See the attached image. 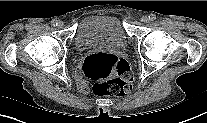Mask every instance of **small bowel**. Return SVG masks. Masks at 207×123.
<instances>
[{
	"label": "small bowel",
	"mask_w": 207,
	"mask_h": 123,
	"mask_svg": "<svg viewBox=\"0 0 207 123\" xmlns=\"http://www.w3.org/2000/svg\"><path fill=\"white\" fill-rule=\"evenodd\" d=\"M77 85H78V88H79L82 92H86V91H87V84H86V82L81 78L80 75L77 76Z\"/></svg>",
	"instance_id": "small-bowel-1"
}]
</instances>
